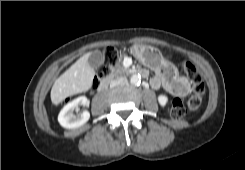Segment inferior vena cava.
I'll list each match as a JSON object with an SVG mask.
<instances>
[{"label": "inferior vena cava", "mask_w": 245, "mask_h": 170, "mask_svg": "<svg viewBox=\"0 0 245 170\" xmlns=\"http://www.w3.org/2000/svg\"><path fill=\"white\" fill-rule=\"evenodd\" d=\"M127 78L126 77H118L116 79H113L111 82H110V87L113 88V87H116V86H120V85H125L127 84Z\"/></svg>", "instance_id": "1"}]
</instances>
